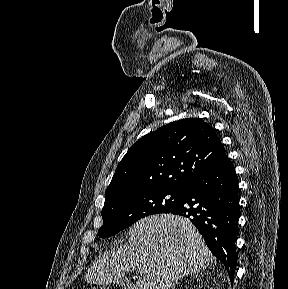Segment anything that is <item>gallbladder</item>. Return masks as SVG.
I'll use <instances>...</instances> for the list:
<instances>
[{"label":"gallbladder","mask_w":288,"mask_h":289,"mask_svg":"<svg viewBox=\"0 0 288 289\" xmlns=\"http://www.w3.org/2000/svg\"><path fill=\"white\" fill-rule=\"evenodd\" d=\"M115 282L120 286L128 285V280L124 277H117L115 278Z\"/></svg>","instance_id":"1"}]
</instances>
